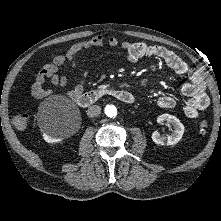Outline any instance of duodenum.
<instances>
[{"label": "duodenum", "instance_id": "1", "mask_svg": "<svg viewBox=\"0 0 221 221\" xmlns=\"http://www.w3.org/2000/svg\"><path fill=\"white\" fill-rule=\"evenodd\" d=\"M106 95L112 96L124 104H132L135 100L131 92L117 89H96L84 92L79 94L75 100L80 107L87 108Z\"/></svg>", "mask_w": 221, "mask_h": 221}]
</instances>
